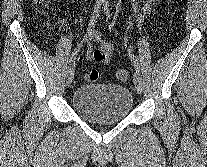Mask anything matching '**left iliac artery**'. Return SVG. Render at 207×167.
Returning <instances> with one entry per match:
<instances>
[{
	"label": "left iliac artery",
	"mask_w": 207,
	"mask_h": 167,
	"mask_svg": "<svg viewBox=\"0 0 207 167\" xmlns=\"http://www.w3.org/2000/svg\"><path fill=\"white\" fill-rule=\"evenodd\" d=\"M104 10L106 12L107 17L110 18L111 17V13H110L109 5H108L107 2H104ZM125 46H127V45L125 44ZM127 50H128L129 57H130L133 65H134L135 69L138 72H140V67H139V64H138L137 60L135 59V56L132 54L130 49H127Z\"/></svg>",
	"instance_id": "left-iliac-artery-1"
}]
</instances>
